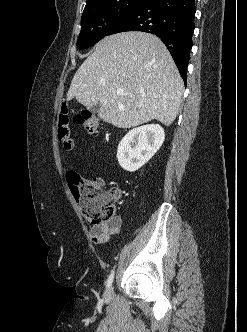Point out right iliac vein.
<instances>
[{
	"label": "right iliac vein",
	"instance_id": "obj_1",
	"mask_svg": "<svg viewBox=\"0 0 247 332\" xmlns=\"http://www.w3.org/2000/svg\"><path fill=\"white\" fill-rule=\"evenodd\" d=\"M113 293V289L111 287H109L106 292H105V296L106 297H110Z\"/></svg>",
	"mask_w": 247,
	"mask_h": 332
}]
</instances>
